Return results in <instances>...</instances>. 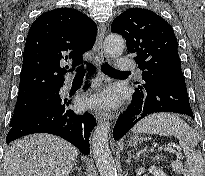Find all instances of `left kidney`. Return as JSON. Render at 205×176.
Returning <instances> with one entry per match:
<instances>
[{
    "label": "left kidney",
    "mask_w": 205,
    "mask_h": 176,
    "mask_svg": "<svg viewBox=\"0 0 205 176\" xmlns=\"http://www.w3.org/2000/svg\"><path fill=\"white\" fill-rule=\"evenodd\" d=\"M144 172H145V168L141 167L136 170V175L141 176ZM149 172L154 176H167L161 169H158L155 166H151L149 168ZM143 176H147V175H143Z\"/></svg>",
    "instance_id": "obj_1"
}]
</instances>
